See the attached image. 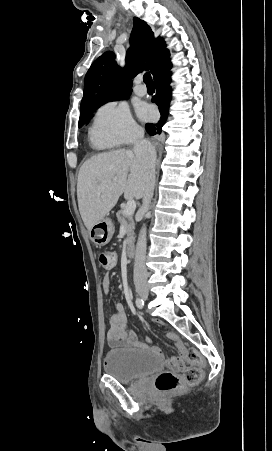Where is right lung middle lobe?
I'll return each mask as SVG.
<instances>
[{
	"label": "right lung middle lobe",
	"mask_w": 272,
	"mask_h": 451,
	"mask_svg": "<svg viewBox=\"0 0 272 451\" xmlns=\"http://www.w3.org/2000/svg\"><path fill=\"white\" fill-rule=\"evenodd\" d=\"M97 108L98 107L80 111L79 128L88 122L89 118Z\"/></svg>",
	"instance_id": "obj_1"
}]
</instances>
